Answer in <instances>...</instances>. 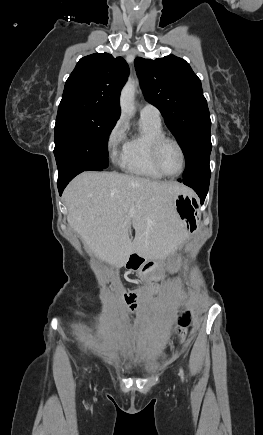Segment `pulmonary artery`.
<instances>
[{"label": "pulmonary artery", "mask_w": 263, "mask_h": 435, "mask_svg": "<svg viewBox=\"0 0 263 435\" xmlns=\"http://www.w3.org/2000/svg\"><path fill=\"white\" fill-rule=\"evenodd\" d=\"M141 117H147L156 121H161L160 111L151 104H145L140 111Z\"/></svg>", "instance_id": "e3ab8cb5"}]
</instances>
